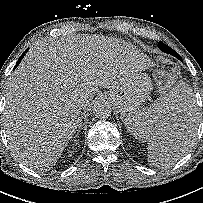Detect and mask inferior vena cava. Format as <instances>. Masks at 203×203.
<instances>
[{
	"label": "inferior vena cava",
	"mask_w": 203,
	"mask_h": 203,
	"mask_svg": "<svg viewBox=\"0 0 203 203\" xmlns=\"http://www.w3.org/2000/svg\"><path fill=\"white\" fill-rule=\"evenodd\" d=\"M85 102L82 101V106L84 105Z\"/></svg>",
	"instance_id": "1"
}]
</instances>
